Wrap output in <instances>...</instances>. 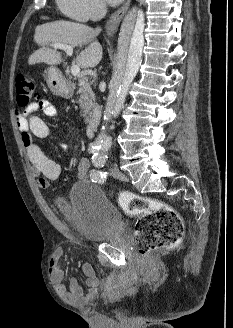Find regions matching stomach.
<instances>
[{
	"label": "stomach",
	"instance_id": "obj_1",
	"mask_svg": "<svg viewBox=\"0 0 233 328\" xmlns=\"http://www.w3.org/2000/svg\"><path fill=\"white\" fill-rule=\"evenodd\" d=\"M43 76L53 93L65 98L72 96V89L66 84L60 71L56 67L52 66L45 69Z\"/></svg>",
	"mask_w": 233,
	"mask_h": 328
}]
</instances>
